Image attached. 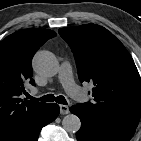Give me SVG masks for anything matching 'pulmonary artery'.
I'll use <instances>...</instances> for the list:
<instances>
[{
    "mask_svg": "<svg viewBox=\"0 0 141 141\" xmlns=\"http://www.w3.org/2000/svg\"><path fill=\"white\" fill-rule=\"evenodd\" d=\"M58 77L64 89L71 97L79 101L85 99V94L74 82L72 68L68 62H63L61 64Z\"/></svg>",
    "mask_w": 141,
    "mask_h": 141,
    "instance_id": "e3ab8cb5",
    "label": "pulmonary artery"
}]
</instances>
